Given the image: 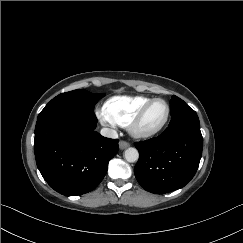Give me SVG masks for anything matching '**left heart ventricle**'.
Returning a JSON list of instances; mask_svg holds the SVG:
<instances>
[{"label":"left heart ventricle","mask_w":243,"mask_h":243,"mask_svg":"<svg viewBox=\"0 0 243 243\" xmlns=\"http://www.w3.org/2000/svg\"><path fill=\"white\" fill-rule=\"evenodd\" d=\"M166 106L163 102H156L146 112L141 127L145 130H151L158 127L165 119Z\"/></svg>","instance_id":"left-heart-ventricle-1"}]
</instances>
